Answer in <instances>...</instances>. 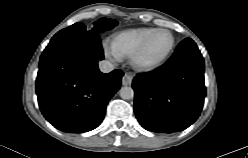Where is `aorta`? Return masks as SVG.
<instances>
[{"mask_svg": "<svg viewBox=\"0 0 248 158\" xmlns=\"http://www.w3.org/2000/svg\"><path fill=\"white\" fill-rule=\"evenodd\" d=\"M120 97L124 100L134 98V90L131 87L125 86L120 89Z\"/></svg>", "mask_w": 248, "mask_h": 158, "instance_id": "obj_1", "label": "aorta"}]
</instances>
